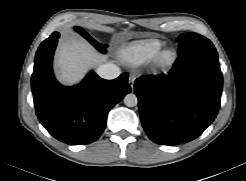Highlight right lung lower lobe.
I'll list each match as a JSON object with an SVG mask.
<instances>
[{
  "label": "right lung lower lobe",
  "instance_id": "98d812e1",
  "mask_svg": "<svg viewBox=\"0 0 246 181\" xmlns=\"http://www.w3.org/2000/svg\"><path fill=\"white\" fill-rule=\"evenodd\" d=\"M58 37L41 44L36 53L31 78L36 114L59 141L70 145L89 144L104 131L110 109L131 91L128 74L105 80L91 72L77 86H62L52 71Z\"/></svg>",
  "mask_w": 246,
  "mask_h": 181
}]
</instances>
